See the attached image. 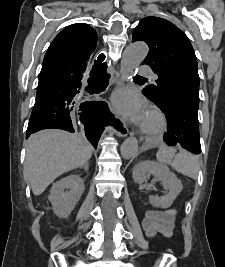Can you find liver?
I'll list each match as a JSON object with an SVG mask.
<instances>
[{
  "label": "liver",
  "mask_w": 225,
  "mask_h": 267,
  "mask_svg": "<svg viewBox=\"0 0 225 267\" xmlns=\"http://www.w3.org/2000/svg\"><path fill=\"white\" fill-rule=\"evenodd\" d=\"M91 156L92 147L78 134L43 130L26 142L24 178L38 196L60 175L84 166Z\"/></svg>",
  "instance_id": "liver-1"
}]
</instances>
